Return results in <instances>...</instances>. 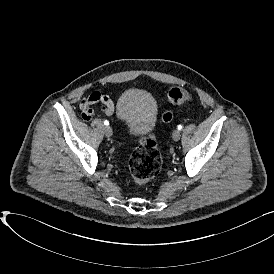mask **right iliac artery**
<instances>
[{
  "instance_id": "82829eb1",
  "label": "right iliac artery",
  "mask_w": 274,
  "mask_h": 274,
  "mask_svg": "<svg viewBox=\"0 0 274 274\" xmlns=\"http://www.w3.org/2000/svg\"><path fill=\"white\" fill-rule=\"evenodd\" d=\"M105 125H109V122L107 120L104 121Z\"/></svg>"
}]
</instances>
